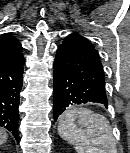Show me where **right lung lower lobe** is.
Returning a JSON list of instances; mask_svg holds the SVG:
<instances>
[{"mask_svg": "<svg viewBox=\"0 0 130 153\" xmlns=\"http://www.w3.org/2000/svg\"><path fill=\"white\" fill-rule=\"evenodd\" d=\"M24 57L0 63V127L9 130L18 141L20 91Z\"/></svg>", "mask_w": 130, "mask_h": 153, "instance_id": "right-lung-lower-lobe-1", "label": "right lung lower lobe"}]
</instances>
